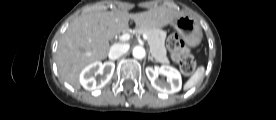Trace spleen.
<instances>
[{
	"label": "spleen",
	"mask_w": 276,
	"mask_h": 120,
	"mask_svg": "<svg viewBox=\"0 0 276 120\" xmlns=\"http://www.w3.org/2000/svg\"><path fill=\"white\" fill-rule=\"evenodd\" d=\"M204 66H200L197 68L195 73L189 78V80L184 85V90H188L195 86L203 77L204 75Z\"/></svg>",
	"instance_id": "3e777b00"
}]
</instances>
